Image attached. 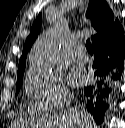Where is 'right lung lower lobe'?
I'll return each mask as SVG.
<instances>
[{
  "instance_id": "98d812e1",
  "label": "right lung lower lobe",
  "mask_w": 125,
  "mask_h": 128,
  "mask_svg": "<svg viewBox=\"0 0 125 128\" xmlns=\"http://www.w3.org/2000/svg\"><path fill=\"white\" fill-rule=\"evenodd\" d=\"M95 50V57L93 62L94 76L97 77L96 86H89L85 88V94L89 98L87 101V110L91 113L97 123L104 120L105 111L108 105L103 101L95 103L94 98L99 92L102 93V87L105 78L108 76L109 71L118 67L119 73L112 74V77L119 79L125 57V38L123 37V27L120 23L115 25L108 32L99 37L92 43ZM111 90L107 87L103 90L105 97Z\"/></svg>"
}]
</instances>
